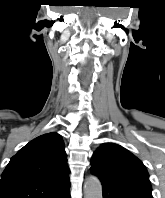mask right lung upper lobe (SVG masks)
Listing matches in <instances>:
<instances>
[{
  "mask_svg": "<svg viewBox=\"0 0 165 198\" xmlns=\"http://www.w3.org/2000/svg\"><path fill=\"white\" fill-rule=\"evenodd\" d=\"M70 188L61 136L41 135L14 155L0 180V198H62Z\"/></svg>",
  "mask_w": 165,
  "mask_h": 198,
  "instance_id": "obj_1",
  "label": "right lung upper lobe"
}]
</instances>
